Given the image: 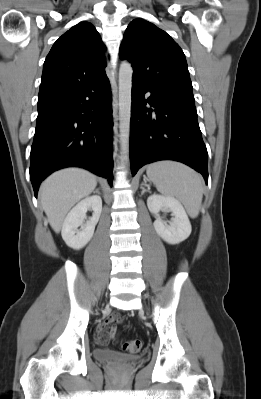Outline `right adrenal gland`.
Returning <instances> with one entry per match:
<instances>
[{"mask_svg": "<svg viewBox=\"0 0 261 399\" xmlns=\"http://www.w3.org/2000/svg\"><path fill=\"white\" fill-rule=\"evenodd\" d=\"M94 193L100 194L99 189H96V190L94 191Z\"/></svg>", "mask_w": 261, "mask_h": 399, "instance_id": "obj_1", "label": "right adrenal gland"}]
</instances>
